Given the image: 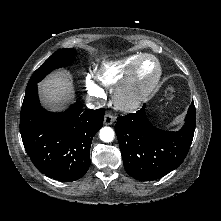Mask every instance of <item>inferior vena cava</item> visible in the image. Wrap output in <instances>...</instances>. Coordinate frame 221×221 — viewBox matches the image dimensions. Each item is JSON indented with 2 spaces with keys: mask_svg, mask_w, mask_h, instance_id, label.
Listing matches in <instances>:
<instances>
[{
  "mask_svg": "<svg viewBox=\"0 0 221 221\" xmlns=\"http://www.w3.org/2000/svg\"><path fill=\"white\" fill-rule=\"evenodd\" d=\"M102 106H103V103L96 101V100H92V99H89L87 103V107L90 109L101 108Z\"/></svg>",
  "mask_w": 221,
  "mask_h": 221,
  "instance_id": "602c4592",
  "label": "inferior vena cava"
}]
</instances>
